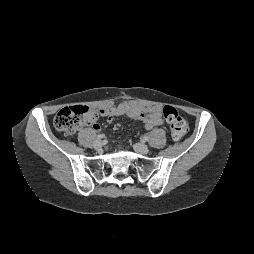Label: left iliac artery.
I'll use <instances>...</instances> for the list:
<instances>
[{
  "mask_svg": "<svg viewBox=\"0 0 254 254\" xmlns=\"http://www.w3.org/2000/svg\"><path fill=\"white\" fill-rule=\"evenodd\" d=\"M142 140H143V141H148V136H143V137H142Z\"/></svg>",
  "mask_w": 254,
  "mask_h": 254,
  "instance_id": "44dca946",
  "label": "left iliac artery"
}]
</instances>
